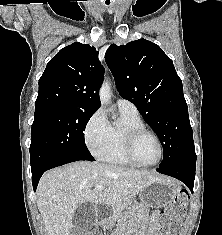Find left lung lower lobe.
Returning <instances> with one entry per match:
<instances>
[{
    "mask_svg": "<svg viewBox=\"0 0 222 235\" xmlns=\"http://www.w3.org/2000/svg\"><path fill=\"white\" fill-rule=\"evenodd\" d=\"M195 165L196 163L183 162L166 167H159L156 171L182 181L191 190V192H193Z\"/></svg>",
    "mask_w": 222,
    "mask_h": 235,
    "instance_id": "left-lung-lower-lobe-1",
    "label": "left lung lower lobe"
}]
</instances>
